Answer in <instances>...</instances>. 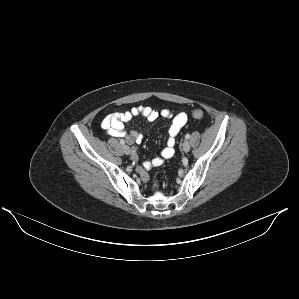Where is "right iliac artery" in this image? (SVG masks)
<instances>
[{"instance_id":"1","label":"right iliac artery","mask_w":299,"mask_h":299,"mask_svg":"<svg viewBox=\"0 0 299 299\" xmlns=\"http://www.w3.org/2000/svg\"><path fill=\"white\" fill-rule=\"evenodd\" d=\"M120 144L124 145L125 141L123 139L120 140Z\"/></svg>"}]
</instances>
